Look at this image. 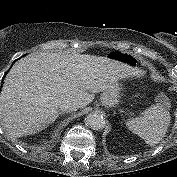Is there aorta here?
Here are the masks:
<instances>
[{
  "label": "aorta",
  "mask_w": 177,
  "mask_h": 177,
  "mask_svg": "<svg viewBox=\"0 0 177 177\" xmlns=\"http://www.w3.org/2000/svg\"><path fill=\"white\" fill-rule=\"evenodd\" d=\"M86 122L93 130H101L106 124L103 116L98 113L89 114L86 118Z\"/></svg>",
  "instance_id": "1"
}]
</instances>
